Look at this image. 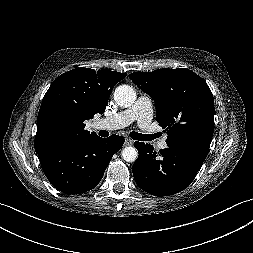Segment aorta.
Segmentation results:
<instances>
[{"label":"aorta","instance_id":"obj_1","mask_svg":"<svg viewBox=\"0 0 253 253\" xmlns=\"http://www.w3.org/2000/svg\"><path fill=\"white\" fill-rule=\"evenodd\" d=\"M114 99L119 106L129 107L136 100V92L129 85H120L115 89ZM121 156L127 162H134L138 157V151L132 146L125 147L121 152Z\"/></svg>","mask_w":253,"mask_h":253}]
</instances>
